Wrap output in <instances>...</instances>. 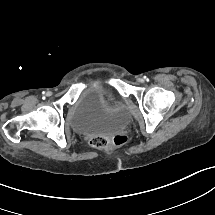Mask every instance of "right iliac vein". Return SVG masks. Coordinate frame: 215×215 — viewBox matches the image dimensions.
<instances>
[{
    "instance_id": "1",
    "label": "right iliac vein",
    "mask_w": 215,
    "mask_h": 215,
    "mask_svg": "<svg viewBox=\"0 0 215 215\" xmlns=\"http://www.w3.org/2000/svg\"><path fill=\"white\" fill-rule=\"evenodd\" d=\"M48 95H51V92H48Z\"/></svg>"
}]
</instances>
